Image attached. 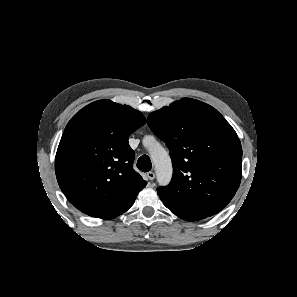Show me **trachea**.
<instances>
[{
	"instance_id": "3493384b",
	"label": "trachea",
	"mask_w": 297,
	"mask_h": 297,
	"mask_svg": "<svg viewBox=\"0 0 297 297\" xmlns=\"http://www.w3.org/2000/svg\"><path fill=\"white\" fill-rule=\"evenodd\" d=\"M137 167L143 172H148L152 168L151 160L147 155L141 156L137 161Z\"/></svg>"
}]
</instances>
